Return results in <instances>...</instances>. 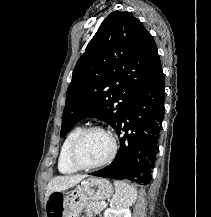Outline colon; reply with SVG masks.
I'll list each match as a JSON object with an SVG mask.
<instances>
[{"label": "colon", "mask_w": 211, "mask_h": 217, "mask_svg": "<svg viewBox=\"0 0 211 217\" xmlns=\"http://www.w3.org/2000/svg\"><path fill=\"white\" fill-rule=\"evenodd\" d=\"M50 217H62V198L59 194H53L48 203Z\"/></svg>", "instance_id": "obj_1"}]
</instances>
